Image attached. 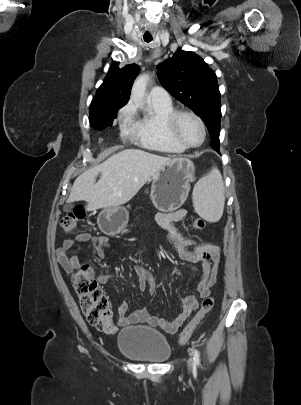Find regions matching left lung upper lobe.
I'll use <instances>...</instances> for the list:
<instances>
[{"label": "left lung upper lobe", "instance_id": "obj_1", "mask_svg": "<svg viewBox=\"0 0 301 405\" xmlns=\"http://www.w3.org/2000/svg\"><path fill=\"white\" fill-rule=\"evenodd\" d=\"M157 69L163 87L204 121L211 142L219 145L221 101L215 72L201 57L183 50Z\"/></svg>", "mask_w": 301, "mask_h": 405}]
</instances>
